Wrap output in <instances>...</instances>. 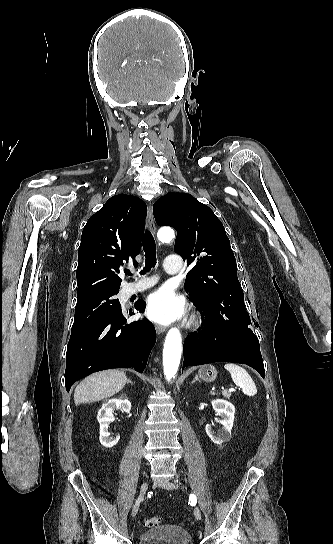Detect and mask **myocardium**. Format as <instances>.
Segmentation results:
<instances>
[{"mask_svg": "<svg viewBox=\"0 0 333 544\" xmlns=\"http://www.w3.org/2000/svg\"><path fill=\"white\" fill-rule=\"evenodd\" d=\"M195 323H196V324H198V323H199V318H196V321H195Z\"/></svg>", "mask_w": 333, "mask_h": 544, "instance_id": "f54148a6", "label": "myocardium"}]
</instances>
